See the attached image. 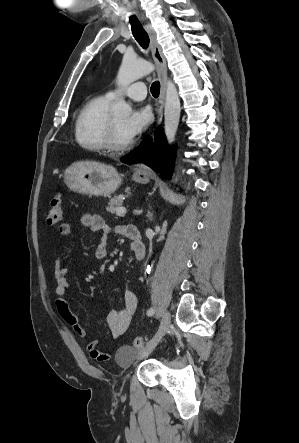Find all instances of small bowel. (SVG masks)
<instances>
[{"instance_id": "obj_1", "label": "small bowel", "mask_w": 299, "mask_h": 443, "mask_svg": "<svg viewBox=\"0 0 299 443\" xmlns=\"http://www.w3.org/2000/svg\"><path fill=\"white\" fill-rule=\"evenodd\" d=\"M80 223L89 228L93 233L99 236L95 257L97 259H104L107 256V238L112 232V229L105 223L104 219L99 215L84 214L80 218ZM129 226H120L116 228V232L126 236ZM58 232L61 236L66 237L71 235L72 226L69 223L60 225ZM127 237V236H126ZM143 256H138L134 253V261L138 262ZM74 262V258L68 259L65 263L61 260L59 254L56 255L54 262V277H55V293H56V309L62 319L69 324L73 331L81 338L87 337L86 329L81 324L78 316L72 311L69 302L66 299V290L68 287L67 272L70 265ZM138 298L134 291L126 290L123 293V307L119 310H112L107 314L106 323L110 334L114 338H119L125 334L130 326L133 315L136 311ZM87 349L90 356L98 361H107L110 359L108 353H104L98 348L96 340L87 342Z\"/></svg>"}]
</instances>
